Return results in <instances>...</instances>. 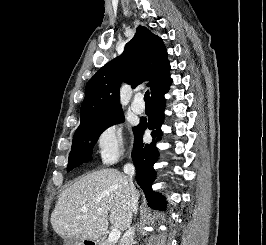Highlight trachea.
I'll use <instances>...</instances> for the list:
<instances>
[{
  "label": "trachea",
  "mask_w": 266,
  "mask_h": 245,
  "mask_svg": "<svg viewBox=\"0 0 266 245\" xmlns=\"http://www.w3.org/2000/svg\"><path fill=\"white\" fill-rule=\"evenodd\" d=\"M144 101L145 103H150V98H149V90L144 95Z\"/></svg>",
  "instance_id": "1"
}]
</instances>
